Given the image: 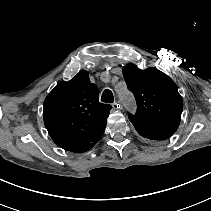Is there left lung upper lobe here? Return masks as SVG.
<instances>
[{
    "label": "left lung upper lobe",
    "mask_w": 211,
    "mask_h": 211,
    "mask_svg": "<svg viewBox=\"0 0 211 211\" xmlns=\"http://www.w3.org/2000/svg\"><path fill=\"white\" fill-rule=\"evenodd\" d=\"M123 75L137 102L136 114H129L137 132L151 144L171 137L180 124L183 110L174 81L157 68L140 70L133 64L123 68Z\"/></svg>",
    "instance_id": "5c2ea615"
}]
</instances>
